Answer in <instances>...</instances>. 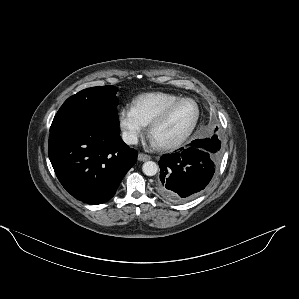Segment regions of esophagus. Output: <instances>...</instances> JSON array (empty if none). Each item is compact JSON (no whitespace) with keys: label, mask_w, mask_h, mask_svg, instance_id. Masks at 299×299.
<instances>
[{"label":"esophagus","mask_w":299,"mask_h":299,"mask_svg":"<svg viewBox=\"0 0 299 299\" xmlns=\"http://www.w3.org/2000/svg\"><path fill=\"white\" fill-rule=\"evenodd\" d=\"M151 157L147 154H144V153H139L138 154V160L139 161H147V160H150Z\"/></svg>","instance_id":"1"}]
</instances>
